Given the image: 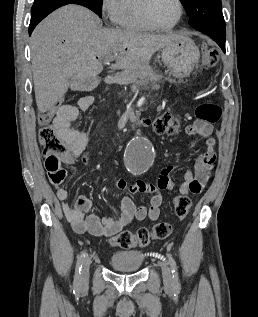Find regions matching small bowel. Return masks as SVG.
<instances>
[{
	"mask_svg": "<svg viewBox=\"0 0 258 317\" xmlns=\"http://www.w3.org/2000/svg\"><path fill=\"white\" fill-rule=\"evenodd\" d=\"M94 100L91 96H84L75 105H61L54 113L53 125L66 144L71 148L75 156H80L88 143V134L73 127L72 122L79 114L86 111ZM141 125H151L150 120H143ZM188 136H200L205 138L206 148L200 152L194 163L192 171H186L183 181L179 186L182 195L189 193H200L210 178V172L214 168L217 155L214 150L215 141L212 138V126L204 121L196 120L186 127ZM197 142L192 141L190 147L196 146ZM86 162V158L83 159ZM57 156H49L45 161L50 183L54 186L56 196L62 203L63 213L70 223L72 229L79 234L89 233L93 236H113L120 233L125 227L136 221L149 219L155 221L160 215L162 203V190H174L175 184L170 180L169 174L172 166L165 167L156 184L137 181L128 185L125 180L115 178L113 184L120 190H127L131 193H146L151 195L148 206H136L134 201L126 196L121 201L120 211L106 218H100L92 211V202L84 195L79 196L73 205L66 202L68 191L63 185L67 178V171L63 164L69 163Z\"/></svg>",
	"mask_w": 258,
	"mask_h": 317,
	"instance_id": "obj_1",
	"label": "small bowel"
}]
</instances>
